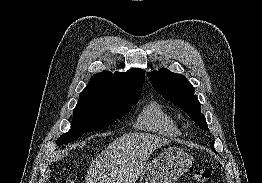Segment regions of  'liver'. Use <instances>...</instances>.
Instances as JSON below:
<instances>
[{
	"label": "liver",
	"mask_w": 262,
	"mask_h": 183,
	"mask_svg": "<svg viewBox=\"0 0 262 183\" xmlns=\"http://www.w3.org/2000/svg\"><path fill=\"white\" fill-rule=\"evenodd\" d=\"M168 143L169 140L151 134H124L92 161L86 183H135L150 154Z\"/></svg>",
	"instance_id": "liver-1"
}]
</instances>
